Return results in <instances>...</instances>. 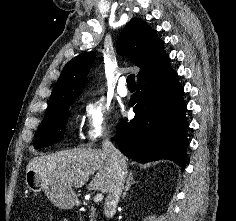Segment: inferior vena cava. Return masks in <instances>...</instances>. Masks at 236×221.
<instances>
[{
  "label": "inferior vena cava",
  "instance_id": "1",
  "mask_svg": "<svg viewBox=\"0 0 236 221\" xmlns=\"http://www.w3.org/2000/svg\"><path fill=\"white\" fill-rule=\"evenodd\" d=\"M102 150L112 168L111 182L104 203V213L109 218L116 211L127 175V166L123 154L110 141L109 131L103 135Z\"/></svg>",
  "mask_w": 236,
  "mask_h": 221
}]
</instances>
